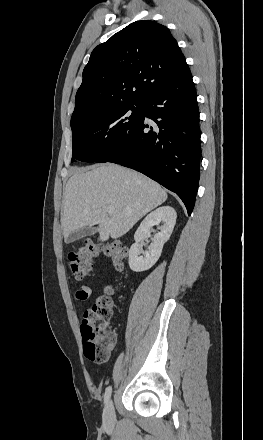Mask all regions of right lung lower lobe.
Segmentation results:
<instances>
[{"label": "right lung lower lobe", "instance_id": "1", "mask_svg": "<svg viewBox=\"0 0 263 440\" xmlns=\"http://www.w3.org/2000/svg\"><path fill=\"white\" fill-rule=\"evenodd\" d=\"M145 118L154 124H147ZM200 130L190 70L142 102L138 126L96 162L137 170L175 192L191 215L199 183Z\"/></svg>", "mask_w": 263, "mask_h": 440}]
</instances>
